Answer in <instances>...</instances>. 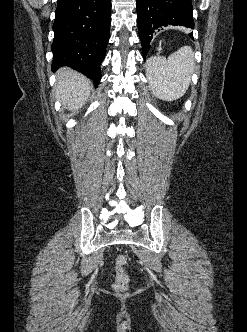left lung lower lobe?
<instances>
[{"label": "left lung lower lobe", "instance_id": "1", "mask_svg": "<svg viewBox=\"0 0 247 332\" xmlns=\"http://www.w3.org/2000/svg\"><path fill=\"white\" fill-rule=\"evenodd\" d=\"M137 22L142 43V55L163 26L179 25L194 28L191 0H136ZM191 38L192 34H189Z\"/></svg>", "mask_w": 247, "mask_h": 332}]
</instances>
